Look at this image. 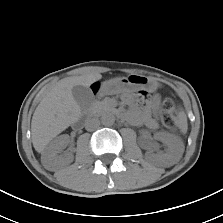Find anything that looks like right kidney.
Wrapping results in <instances>:
<instances>
[{
	"label": "right kidney",
	"mask_w": 223,
	"mask_h": 223,
	"mask_svg": "<svg viewBox=\"0 0 223 223\" xmlns=\"http://www.w3.org/2000/svg\"><path fill=\"white\" fill-rule=\"evenodd\" d=\"M69 143L68 135H61L54 139L45 151L42 153V163L48 169H53L58 165H68L73 161L72 155L62 157L59 155L62 148L66 147Z\"/></svg>",
	"instance_id": "obj_1"
}]
</instances>
